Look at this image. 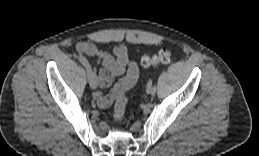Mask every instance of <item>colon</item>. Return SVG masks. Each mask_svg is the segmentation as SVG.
Returning a JSON list of instances; mask_svg holds the SVG:
<instances>
[{
  "label": "colon",
  "instance_id": "5ec220e1",
  "mask_svg": "<svg viewBox=\"0 0 259 156\" xmlns=\"http://www.w3.org/2000/svg\"><path fill=\"white\" fill-rule=\"evenodd\" d=\"M171 58V51L163 48L157 54L146 53L141 57V64L144 67L155 66L158 63H167ZM127 99L125 92H120L116 97V102L113 111V120L118 122L122 119L126 109Z\"/></svg>",
  "mask_w": 259,
  "mask_h": 156
}]
</instances>
